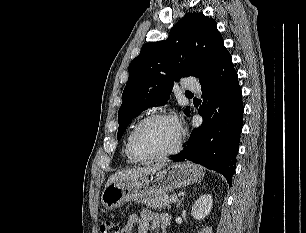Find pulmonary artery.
<instances>
[{
  "instance_id": "1",
  "label": "pulmonary artery",
  "mask_w": 306,
  "mask_h": 233,
  "mask_svg": "<svg viewBox=\"0 0 306 233\" xmlns=\"http://www.w3.org/2000/svg\"><path fill=\"white\" fill-rule=\"evenodd\" d=\"M184 86L190 92H200L201 87L195 79H188L185 81Z\"/></svg>"
}]
</instances>
